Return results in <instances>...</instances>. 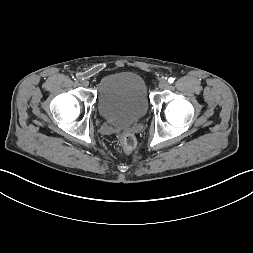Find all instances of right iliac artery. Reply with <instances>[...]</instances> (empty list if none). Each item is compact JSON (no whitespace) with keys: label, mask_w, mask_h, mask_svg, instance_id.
I'll list each match as a JSON object with an SVG mask.
<instances>
[{"label":"right iliac artery","mask_w":253,"mask_h":253,"mask_svg":"<svg viewBox=\"0 0 253 253\" xmlns=\"http://www.w3.org/2000/svg\"><path fill=\"white\" fill-rule=\"evenodd\" d=\"M80 79H81V78H79V77H75L74 80H75L76 82H78V81H80Z\"/></svg>","instance_id":"obj_1"}]
</instances>
